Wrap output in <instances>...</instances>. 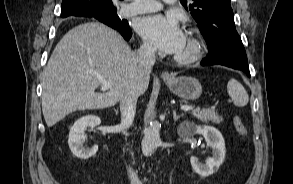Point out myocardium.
Listing matches in <instances>:
<instances>
[{
	"label": "myocardium",
	"mask_w": 293,
	"mask_h": 184,
	"mask_svg": "<svg viewBox=\"0 0 293 184\" xmlns=\"http://www.w3.org/2000/svg\"><path fill=\"white\" fill-rule=\"evenodd\" d=\"M186 35H188L192 40L191 52L187 55H183V56L175 55L173 57V59L177 63L183 64V65L192 64L198 61L202 57L206 48L205 40L198 29L189 28L186 31Z\"/></svg>",
	"instance_id": "f54148a6"
}]
</instances>
